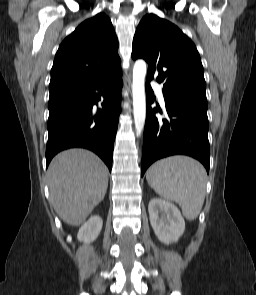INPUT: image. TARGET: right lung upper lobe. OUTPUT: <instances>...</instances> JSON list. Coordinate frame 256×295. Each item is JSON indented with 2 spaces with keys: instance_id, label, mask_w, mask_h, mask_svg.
I'll list each match as a JSON object with an SVG mask.
<instances>
[{
  "instance_id": "cb5924a9",
  "label": "right lung upper lobe",
  "mask_w": 256,
  "mask_h": 295,
  "mask_svg": "<svg viewBox=\"0 0 256 295\" xmlns=\"http://www.w3.org/2000/svg\"><path fill=\"white\" fill-rule=\"evenodd\" d=\"M120 70L117 36L110 19L99 13L81 23L59 46L49 91L88 83Z\"/></svg>"
}]
</instances>
